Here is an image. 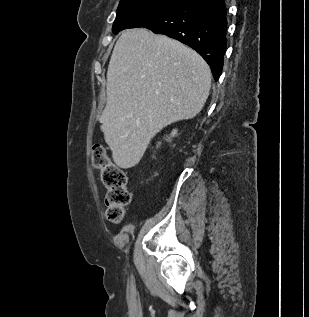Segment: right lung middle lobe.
<instances>
[{"label": "right lung middle lobe", "instance_id": "obj_1", "mask_svg": "<svg viewBox=\"0 0 309 317\" xmlns=\"http://www.w3.org/2000/svg\"><path fill=\"white\" fill-rule=\"evenodd\" d=\"M179 1L181 0H121L112 31L117 34L140 16Z\"/></svg>", "mask_w": 309, "mask_h": 317}]
</instances>
